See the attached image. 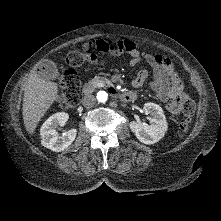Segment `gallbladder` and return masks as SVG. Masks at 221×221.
<instances>
[{"label":"gallbladder","instance_id":"obj_1","mask_svg":"<svg viewBox=\"0 0 221 221\" xmlns=\"http://www.w3.org/2000/svg\"><path fill=\"white\" fill-rule=\"evenodd\" d=\"M49 68L43 69L42 67L36 72L37 76L46 80H55L60 76L58 69L54 63L48 62Z\"/></svg>","mask_w":221,"mask_h":221}]
</instances>
